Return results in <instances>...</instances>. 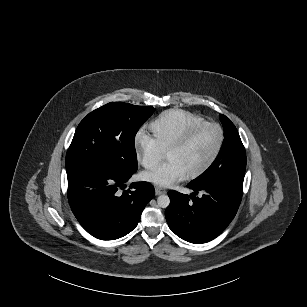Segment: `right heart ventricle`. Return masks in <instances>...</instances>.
I'll list each match as a JSON object with an SVG mask.
<instances>
[{"mask_svg":"<svg viewBox=\"0 0 307 307\" xmlns=\"http://www.w3.org/2000/svg\"><path fill=\"white\" fill-rule=\"evenodd\" d=\"M205 121L189 111L171 109L162 112L158 118L151 123L152 137L161 151L175 140L182 138L189 131L202 125Z\"/></svg>","mask_w":307,"mask_h":307,"instance_id":"right-heart-ventricle-1","label":"right heart ventricle"}]
</instances>
